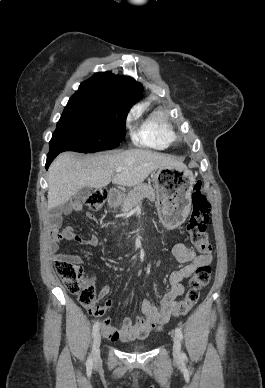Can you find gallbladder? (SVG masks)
<instances>
[{
	"mask_svg": "<svg viewBox=\"0 0 265 388\" xmlns=\"http://www.w3.org/2000/svg\"><path fill=\"white\" fill-rule=\"evenodd\" d=\"M90 190L91 188H82L80 192H77V194H75V200H87V198H89L90 196Z\"/></svg>",
	"mask_w": 265,
	"mask_h": 388,
	"instance_id": "bac80fb5",
	"label": "gallbladder"
}]
</instances>
